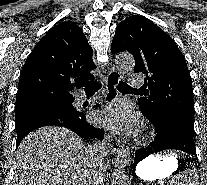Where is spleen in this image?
<instances>
[{"instance_id": "3e777b00", "label": "spleen", "mask_w": 207, "mask_h": 185, "mask_svg": "<svg viewBox=\"0 0 207 185\" xmlns=\"http://www.w3.org/2000/svg\"><path fill=\"white\" fill-rule=\"evenodd\" d=\"M197 183H201V174H198V170H183L170 185H197Z\"/></svg>"}]
</instances>
